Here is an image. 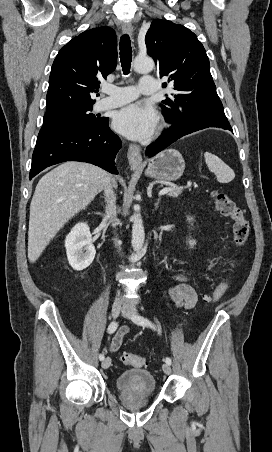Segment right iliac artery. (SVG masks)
Returning a JSON list of instances; mask_svg holds the SVG:
<instances>
[{"mask_svg": "<svg viewBox=\"0 0 272 452\" xmlns=\"http://www.w3.org/2000/svg\"><path fill=\"white\" fill-rule=\"evenodd\" d=\"M117 327H118L117 322H116V321H113V322H111V323L109 324L108 329H107V332H108L109 334L114 333V332L116 331ZM99 359H100L101 361L104 360V354H100V355H99Z\"/></svg>", "mask_w": 272, "mask_h": 452, "instance_id": "right-iliac-artery-1", "label": "right iliac artery"}]
</instances>
